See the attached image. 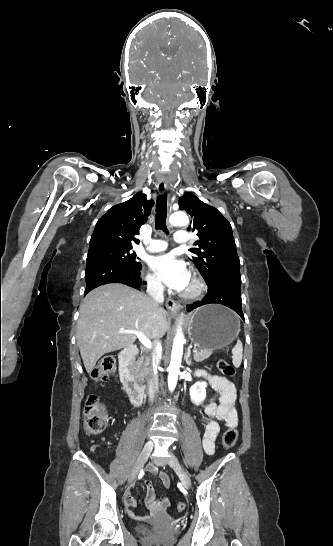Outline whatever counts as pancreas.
<instances>
[{
	"label": "pancreas",
	"mask_w": 333,
	"mask_h": 546,
	"mask_svg": "<svg viewBox=\"0 0 333 546\" xmlns=\"http://www.w3.org/2000/svg\"><path fill=\"white\" fill-rule=\"evenodd\" d=\"M213 353L212 349H202L197 353H194L193 357L196 362H202L209 358ZM151 356H141L137 362V379L139 382H143L144 378L151 373L150 365Z\"/></svg>",
	"instance_id": "cf45deb5"
}]
</instances>
